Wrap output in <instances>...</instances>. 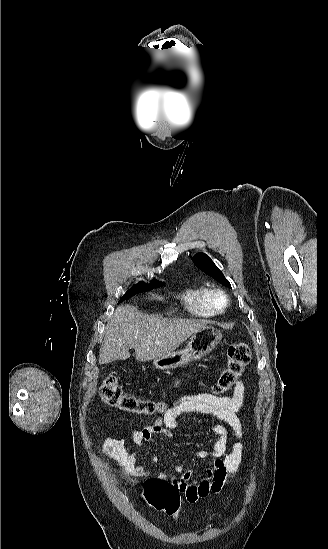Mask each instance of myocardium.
Segmentation results:
<instances>
[{"label": "myocardium", "mask_w": 328, "mask_h": 549, "mask_svg": "<svg viewBox=\"0 0 328 549\" xmlns=\"http://www.w3.org/2000/svg\"><path fill=\"white\" fill-rule=\"evenodd\" d=\"M210 300L212 310L215 314H221L228 310L230 305V297L228 293L220 288H214L210 291Z\"/></svg>", "instance_id": "1"}]
</instances>
